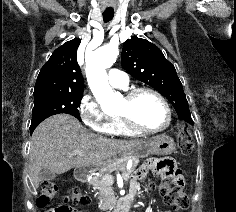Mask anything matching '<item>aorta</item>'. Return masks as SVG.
<instances>
[{
  "label": "aorta",
  "instance_id": "obj_1",
  "mask_svg": "<svg viewBox=\"0 0 236 212\" xmlns=\"http://www.w3.org/2000/svg\"><path fill=\"white\" fill-rule=\"evenodd\" d=\"M119 54L117 45L108 44L86 55V77L89 87L102 108L116 105L121 95L109 85L106 68L111 67Z\"/></svg>",
  "mask_w": 236,
  "mask_h": 212
}]
</instances>
